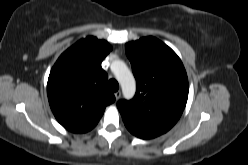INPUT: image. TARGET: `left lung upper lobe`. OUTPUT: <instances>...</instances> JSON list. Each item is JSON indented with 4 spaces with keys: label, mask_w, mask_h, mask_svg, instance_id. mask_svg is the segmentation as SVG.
Listing matches in <instances>:
<instances>
[{
    "label": "left lung upper lobe",
    "mask_w": 248,
    "mask_h": 165,
    "mask_svg": "<svg viewBox=\"0 0 248 165\" xmlns=\"http://www.w3.org/2000/svg\"><path fill=\"white\" fill-rule=\"evenodd\" d=\"M125 50L137 90L132 100H121L117 107L133 124L163 134L185 108L189 91L185 68L177 54L154 37L129 42Z\"/></svg>",
    "instance_id": "5c2ea615"
}]
</instances>
